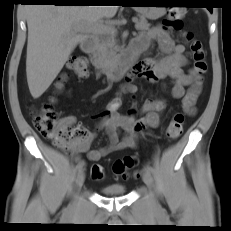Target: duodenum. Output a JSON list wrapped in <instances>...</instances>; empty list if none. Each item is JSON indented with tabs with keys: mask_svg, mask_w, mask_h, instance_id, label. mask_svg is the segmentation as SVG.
I'll list each match as a JSON object with an SVG mask.
<instances>
[{
	"mask_svg": "<svg viewBox=\"0 0 231 231\" xmlns=\"http://www.w3.org/2000/svg\"><path fill=\"white\" fill-rule=\"evenodd\" d=\"M97 45L98 41L95 37H88L82 41L81 49L85 53H93ZM138 55L139 51L137 49L127 51L122 56L121 60H119L108 69H106L103 65V62L97 56H95L94 66L97 72H107L111 77L119 79L124 74V72L136 65Z\"/></svg>",
	"mask_w": 231,
	"mask_h": 231,
	"instance_id": "1",
	"label": "duodenum"
}]
</instances>
